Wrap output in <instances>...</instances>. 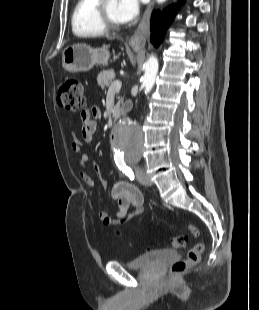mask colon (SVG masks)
<instances>
[{
  "label": "colon",
  "mask_w": 259,
  "mask_h": 310,
  "mask_svg": "<svg viewBox=\"0 0 259 310\" xmlns=\"http://www.w3.org/2000/svg\"><path fill=\"white\" fill-rule=\"evenodd\" d=\"M57 103L63 110L72 112H81L84 110V95L82 84L79 80L74 78L66 79L56 95ZM189 232L197 236L198 229L193 225H188ZM188 238L184 235H178L172 238L170 245L172 248L184 247ZM203 245L200 243L190 246L187 250L185 259L178 260L171 266V272L173 274H179L185 272L189 267L197 264L200 260L201 253L203 251Z\"/></svg>",
  "instance_id": "1"
}]
</instances>
